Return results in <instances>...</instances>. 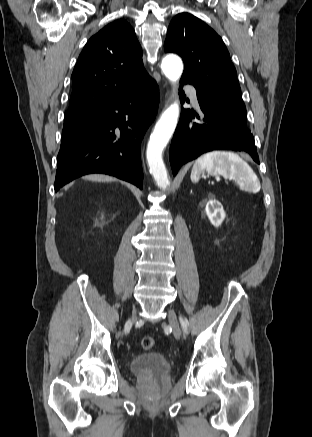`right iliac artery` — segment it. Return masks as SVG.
<instances>
[{"mask_svg": "<svg viewBox=\"0 0 312 437\" xmlns=\"http://www.w3.org/2000/svg\"><path fill=\"white\" fill-rule=\"evenodd\" d=\"M131 328V325H129V321L125 325V331H128Z\"/></svg>", "mask_w": 312, "mask_h": 437, "instance_id": "obj_1", "label": "right iliac artery"}]
</instances>
